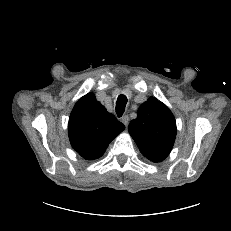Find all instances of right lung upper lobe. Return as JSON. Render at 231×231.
<instances>
[{
    "label": "right lung upper lobe",
    "mask_w": 231,
    "mask_h": 231,
    "mask_svg": "<svg viewBox=\"0 0 231 231\" xmlns=\"http://www.w3.org/2000/svg\"><path fill=\"white\" fill-rule=\"evenodd\" d=\"M125 126L108 113L103 105L88 93L75 104L69 118V140L84 159L101 157L109 143Z\"/></svg>",
    "instance_id": "right-lung-upper-lobe-1"
}]
</instances>
